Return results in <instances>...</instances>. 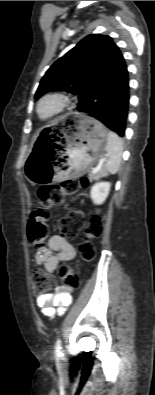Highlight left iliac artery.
Returning <instances> with one entry per match:
<instances>
[{"label": "left iliac artery", "mask_w": 155, "mask_h": 395, "mask_svg": "<svg viewBox=\"0 0 155 395\" xmlns=\"http://www.w3.org/2000/svg\"><path fill=\"white\" fill-rule=\"evenodd\" d=\"M55 351H56V356L57 357H61L62 353H61V339H57L56 344H55Z\"/></svg>", "instance_id": "1"}]
</instances>
